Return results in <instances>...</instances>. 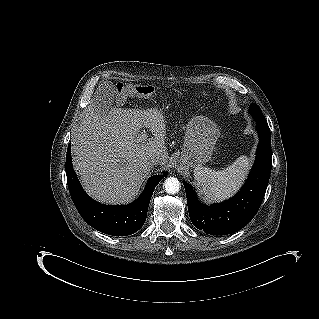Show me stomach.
I'll return each instance as SVG.
<instances>
[{"mask_svg":"<svg viewBox=\"0 0 319 319\" xmlns=\"http://www.w3.org/2000/svg\"><path fill=\"white\" fill-rule=\"evenodd\" d=\"M219 135L217 125L207 117L192 118L186 128L180 164L193 168L207 163L212 157Z\"/></svg>","mask_w":319,"mask_h":319,"instance_id":"obj_1","label":"stomach"}]
</instances>
